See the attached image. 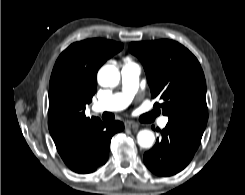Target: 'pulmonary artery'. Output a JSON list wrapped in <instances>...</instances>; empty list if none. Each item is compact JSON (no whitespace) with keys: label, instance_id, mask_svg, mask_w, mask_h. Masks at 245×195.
<instances>
[{"label":"pulmonary artery","instance_id":"1","mask_svg":"<svg viewBox=\"0 0 245 195\" xmlns=\"http://www.w3.org/2000/svg\"><path fill=\"white\" fill-rule=\"evenodd\" d=\"M140 66L130 60H126L121 69V90L94 103L93 110L120 111L125 109L134 98L138 90ZM168 123V117H162L159 121L161 127Z\"/></svg>","mask_w":245,"mask_h":195}]
</instances>
